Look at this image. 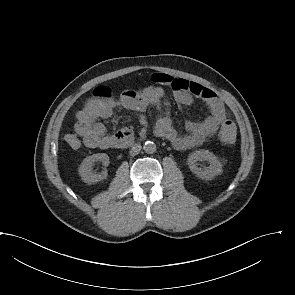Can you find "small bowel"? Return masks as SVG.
Returning <instances> with one entry per match:
<instances>
[{
    "instance_id": "small-bowel-1",
    "label": "small bowel",
    "mask_w": 295,
    "mask_h": 295,
    "mask_svg": "<svg viewBox=\"0 0 295 295\" xmlns=\"http://www.w3.org/2000/svg\"><path fill=\"white\" fill-rule=\"evenodd\" d=\"M153 80L155 85L136 91L127 90L118 98L88 99L77 112L75 130L66 134V142L73 149H78L82 143L91 149L116 148L117 140L123 136H132L133 130L123 127L115 134H107L105 125L99 120L110 118L117 108L144 112L149 107H155L162 111L155 123V134L167 139L177 150L200 146L206 139L214 136L224 122L230 121L223 103L210 88L164 73L155 74ZM162 86L171 88L175 101L181 106L192 104L194 98L202 99L208 106L210 115L199 122H188L186 132L179 133L172 124L169 102Z\"/></svg>"
}]
</instances>
